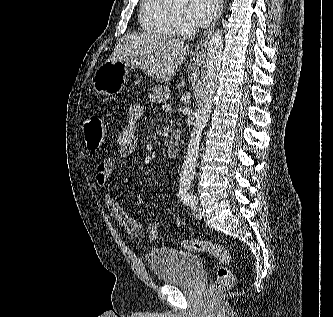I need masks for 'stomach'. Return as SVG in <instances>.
<instances>
[{
  "label": "stomach",
  "instance_id": "obj_1",
  "mask_svg": "<svg viewBox=\"0 0 333 317\" xmlns=\"http://www.w3.org/2000/svg\"><path fill=\"white\" fill-rule=\"evenodd\" d=\"M129 70L126 63L106 61L94 73L92 87L100 95H114L123 88Z\"/></svg>",
  "mask_w": 333,
  "mask_h": 317
}]
</instances>
